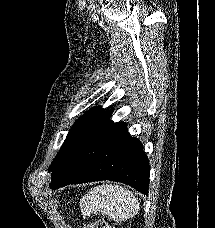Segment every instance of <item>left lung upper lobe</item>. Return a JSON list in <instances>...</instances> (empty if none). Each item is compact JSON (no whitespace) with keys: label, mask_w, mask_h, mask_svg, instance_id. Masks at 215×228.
<instances>
[{"label":"left lung upper lobe","mask_w":215,"mask_h":228,"mask_svg":"<svg viewBox=\"0 0 215 228\" xmlns=\"http://www.w3.org/2000/svg\"><path fill=\"white\" fill-rule=\"evenodd\" d=\"M112 111H104L98 107L90 109L79 118L69 131L64 144L54 159L49 171L52 178L61 170L77 148L91 135L102 123L109 119Z\"/></svg>","instance_id":"5c2ea615"}]
</instances>
